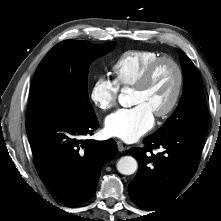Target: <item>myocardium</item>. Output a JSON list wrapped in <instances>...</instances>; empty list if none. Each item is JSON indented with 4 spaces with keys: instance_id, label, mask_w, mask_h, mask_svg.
Segmentation results:
<instances>
[{
    "instance_id": "f54148a6",
    "label": "myocardium",
    "mask_w": 221,
    "mask_h": 221,
    "mask_svg": "<svg viewBox=\"0 0 221 221\" xmlns=\"http://www.w3.org/2000/svg\"><path fill=\"white\" fill-rule=\"evenodd\" d=\"M164 63H169L174 67V69L176 70V74H177V81H176V86H175L173 96L169 104L162 111L154 114L157 118L168 117L175 110L181 98L183 87H184V72L179 62L172 57H168V56L159 57L158 59L151 62L143 70V72L140 74V76L138 77L134 85L132 86L133 89H143L150 81L156 69L161 64H164Z\"/></svg>"
}]
</instances>
